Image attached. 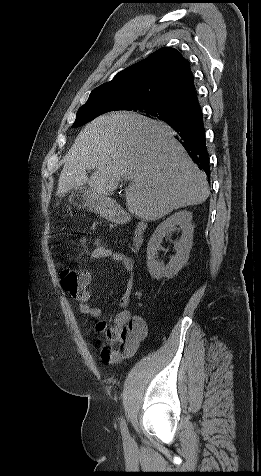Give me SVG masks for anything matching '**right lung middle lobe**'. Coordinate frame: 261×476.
Wrapping results in <instances>:
<instances>
[{"label":"right lung middle lobe","instance_id":"right-lung-middle-lobe-1","mask_svg":"<svg viewBox=\"0 0 261 476\" xmlns=\"http://www.w3.org/2000/svg\"><path fill=\"white\" fill-rule=\"evenodd\" d=\"M118 110H120V107L112 97L85 103L79 108L73 127H79L101 114ZM135 112L168 122L177 119L183 114L184 110L165 104H149Z\"/></svg>","mask_w":261,"mask_h":476}]
</instances>
